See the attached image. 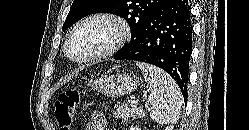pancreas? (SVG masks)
<instances>
[{
	"label": "pancreas",
	"mask_w": 249,
	"mask_h": 130,
	"mask_svg": "<svg viewBox=\"0 0 249 130\" xmlns=\"http://www.w3.org/2000/svg\"><path fill=\"white\" fill-rule=\"evenodd\" d=\"M113 116L120 119L143 118L144 112L141 108L133 107L127 103H117L114 106Z\"/></svg>",
	"instance_id": "obj_1"
}]
</instances>
